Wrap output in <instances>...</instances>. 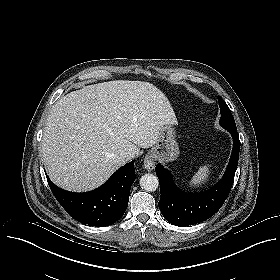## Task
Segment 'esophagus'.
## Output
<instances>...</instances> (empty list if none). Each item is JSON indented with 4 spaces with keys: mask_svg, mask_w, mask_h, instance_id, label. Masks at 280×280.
<instances>
[{
    "mask_svg": "<svg viewBox=\"0 0 280 280\" xmlns=\"http://www.w3.org/2000/svg\"><path fill=\"white\" fill-rule=\"evenodd\" d=\"M155 157L152 153H148L144 158V168L148 172H151L155 167Z\"/></svg>",
    "mask_w": 280,
    "mask_h": 280,
    "instance_id": "1",
    "label": "esophagus"
}]
</instances>
